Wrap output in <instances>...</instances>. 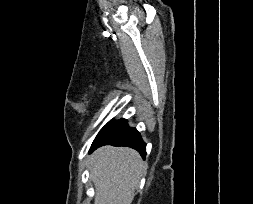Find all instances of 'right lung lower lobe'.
<instances>
[{"mask_svg": "<svg viewBox=\"0 0 253 204\" xmlns=\"http://www.w3.org/2000/svg\"><path fill=\"white\" fill-rule=\"evenodd\" d=\"M103 145L128 146L136 149L143 159L146 156V144L140 133L135 128H130L125 119L112 120L104 126L92 143L90 151Z\"/></svg>", "mask_w": 253, "mask_h": 204, "instance_id": "obj_1", "label": "right lung lower lobe"}]
</instances>
